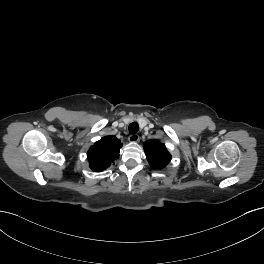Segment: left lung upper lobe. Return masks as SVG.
Instances as JSON below:
<instances>
[{
	"label": "left lung upper lobe",
	"mask_w": 264,
	"mask_h": 264,
	"mask_svg": "<svg viewBox=\"0 0 264 264\" xmlns=\"http://www.w3.org/2000/svg\"><path fill=\"white\" fill-rule=\"evenodd\" d=\"M144 150L151 167L154 169H162L171 160V155L165 145L158 140L146 141Z\"/></svg>",
	"instance_id": "left-lung-upper-lobe-1"
}]
</instances>
